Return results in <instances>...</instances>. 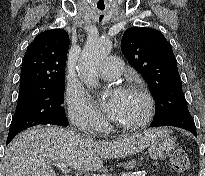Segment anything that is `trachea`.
Returning a JSON list of instances; mask_svg holds the SVG:
<instances>
[{"mask_svg": "<svg viewBox=\"0 0 205 176\" xmlns=\"http://www.w3.org/2000/svg\"><path fill=\"white\" fill-rule=\"evenodd\" d=\"M100 20H102L103 19V16L102 15H100V18H99Z\"/></svg>", "mask_w": 205, "mask_h": 176, "instance_id": "3493384b", "label": "trachea"}]
</instances>
